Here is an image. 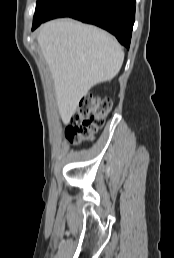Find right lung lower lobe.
<instances>
[{
	"label": "right lung lower lobe",
	"mask_w": 174,
	"mask_h": 258,
	"mask_svg": "<svg viewBox=\"0 0 174 258\" xmlns=\"http://www.w3.org/2000/svg\"><path fill=\"white\" fill-rule=\"evenodd\" d=\"M59 17H71L99 26L129 48L135 20V0H61L43 22Z\"/></svg>",
	"instance_id": "obj_1"
}]
</instances>
